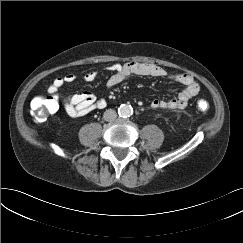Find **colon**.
I'll return each mask as SVG.
<instances>
[{
	"label": "colon",
	"instance_id": "colon-1",
	"mask_svg": "<svg viewBox=\"0 0 243 243\" xmlns=\"http://www.w3.org/2000/svg\"><path fill=\"white\" fill-rule=\"evenodd\" d=\"M196 105L201 112L209 109V103L203 99L198 100ZM58 108V99L54 95L36 96L31 101V114L37 121H43L48 115L55 113Z\"/></svg>",
	"mask_w": 243,
	"mask_h": 243
}]
</instances>
